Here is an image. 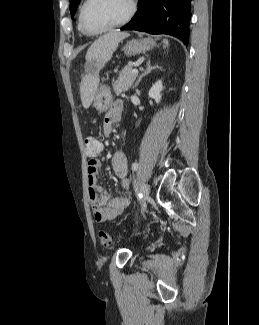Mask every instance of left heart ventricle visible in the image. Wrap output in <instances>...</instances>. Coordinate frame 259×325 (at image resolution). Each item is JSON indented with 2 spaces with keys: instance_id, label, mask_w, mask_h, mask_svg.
<instances>
[{
  "instance_id": "1",
  "label": "left heart ventricle",
  "mask_w": 259,
  "mask_h": 325,
  "mask_svg": "<svg viewBox=\"0 0 259 325\" xmlns=\"http://www.w3.org/2000/svg\"><path fill=\"white\" fill-rule=\"evenodd\" d=\"M130 0H92L85 10L86 26L100 30L122 20L128 13Z\"/></svg>"
}]
</instances>
